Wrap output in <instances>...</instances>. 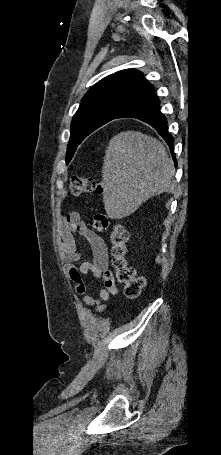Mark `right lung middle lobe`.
Returning <instances> with one entry per match:
<instances>
[{"label":"right lung middle lobe","instance_id":"obj_1","mask_svg":"<svg viewBox=\"0 0 221 455\" xmlns=\"http://www.w3.org/2000/svg\"><path fill=\"white\" fill-rule=\"evenodd\" d=\"M123 108L112 104H90L79 107L71 122V135L66 164L72 159L78 145L94 130L117 118Z\"/></svg>","mask_w":221,"mask_h":455}]
</instances>
